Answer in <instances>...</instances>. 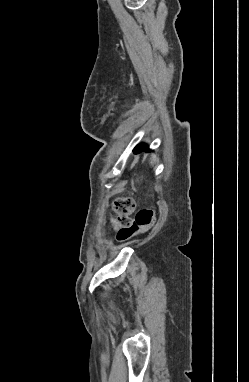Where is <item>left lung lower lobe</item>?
I'll return each instance as SVG.
<instances>
[{
  "instance_id": "obj_1",
  "label": "left lung lower lobe",
  "mask_w": 249,
  "mask_h": 382,
  "mask_svg": "<svg viewBox=\"0 0 249 382\" xmlns=\"http://www.w3.org/2000/svg\"><path fill=\"white\" fill-rule=\"evenodd\" d=\"M142 150L149 151L148 146L146 144H140L135 147L134 152L139 153Z\"/></svg>"
}]
</instances>
